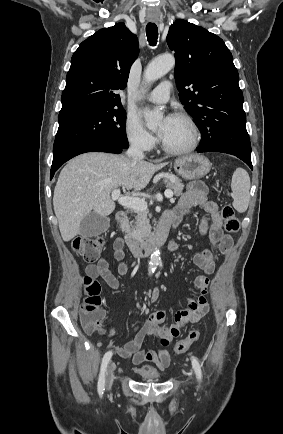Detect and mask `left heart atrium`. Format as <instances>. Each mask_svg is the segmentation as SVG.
Segmentation results:
<instances>
[{"label":"left heart atrium","mask_w":283,"mask_h":434,"mask_svg":"<svg viewBox=\"0 0 283 434\" xmlns=\"http://www.w3.org/2000/svg\"><path fill=\"white\" fill-rule=\"evenodd\" d=\"M173 118H174L173 116H167V117H165L164 120L162 121V124L160 125V128H159V130H158V135H159L162 139L167 135V133H168L170 127H171V124H172Z\"/></svg>","instance_id":"1"}]
</instances>
